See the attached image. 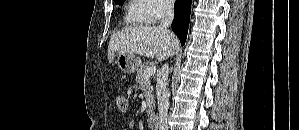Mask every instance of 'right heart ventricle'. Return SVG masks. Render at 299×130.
Returning a JSON list of instances; mask_svg holds the SVG:
<instances>
[{
    "label": "right heart ventricle",
    "mask_w": 299,
    "mask_h": 130,
    "mask_svg": "<svg viewBox=\"0 0 299 130\" xmlns=\"http://www.w3.org/2000/svg\"><path fill=\"white\" fill-rule=\"evenodd\" d=\"M149 5L145 0H132L129 2L125 21L132 25H147L151 23L148 16Z\"/></svg>",
    "instance_id": "right-heart-ventricle-1"
}]
</instances>
